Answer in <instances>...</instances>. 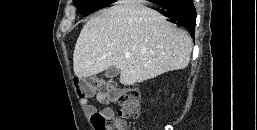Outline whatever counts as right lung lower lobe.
I'll return each mask as SVG.
<instances>
[{
  "label": "right lung lower lobe",
  "mask_w": 257,
  "mask_h": 130,
  "mask_svg": "<svg viewBox=\"0 0 257 130\" xmlns=\"http://www.w3.org/2000/svg\"><path fill=\"white\" fill-rule=\"evenodd\" d=\"M158 4L164 9L162 13L168 17V21L187 28L194 36L196 10L192 0L160 1Z\"/></svg>",
  "instance_id": "98d812e1"
}]
</instances>
